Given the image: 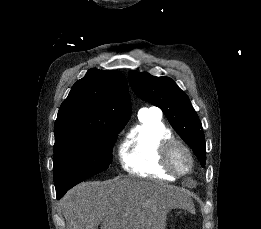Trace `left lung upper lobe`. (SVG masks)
<instances>
[{"label":"left lung upper lobe","instance_id":"left-lung-upper-lobe-1","mask_svg":"<svg viewBox=\"0 0 261 229\" xmlns=\"http://www.w3.org/2000/svg\"><path fill=\"white\" fill-rule=\"evenodd\" d=\"M129 82L142 100L159 107L168 121L202 163L206 162L205 137L190 100L169 77H155L147 72L130 71Z\"/></svg>","mask_w":261,"mask_h":229}]
</instances>
